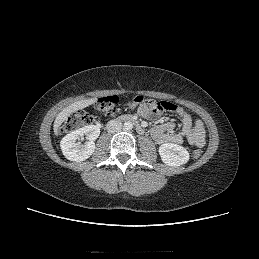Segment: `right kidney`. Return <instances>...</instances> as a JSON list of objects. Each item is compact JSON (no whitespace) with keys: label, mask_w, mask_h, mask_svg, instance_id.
Returning <instances> with one entry per match:
<instances>
[{"label":"right kidney","mask_w":259,"mask_h":259,"mask_svg":"<svg viewBox=\"0 0 259 259\" xmlns=\"http://www.w3.org/2000/svg\"><path fill=\"white\" fill-rule=\"evenodd\" d=\"M100 135V128L96 125H88L74 130L67 134L60 142L63 155L71 161H84L95 151L94 141ZM86 136L88 142L81 144L78 142Z\"/></svg>","instance_id":"right-kidney-1"}]
</instances>
